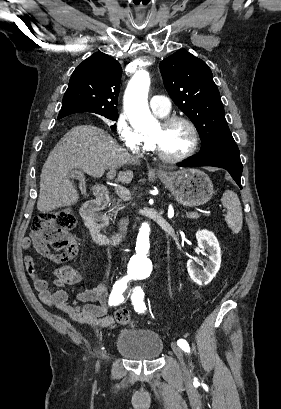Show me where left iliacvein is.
I'll use <instances>...</instances> for the list:
<instances>
[{
	"label": "left iliac vein",
	"instance_id": "4c4485c4",
	"mask_svg": "<svg viewBox=\"0 0 281 409\" xmlns=\"http://www.w3.org/2000/svg\"><path fill=\"white\" fill-rule=\"evenodd\" d=\"M171 347H172L174 354L177 356V358L179 359L181 363V367H182L184 374H188V371H187V368L184 362V354H183L182 349L174 343H172Z\"/></svg>",
	"mask_w": 281,
	"mask_h": 409
}]
</instances>
